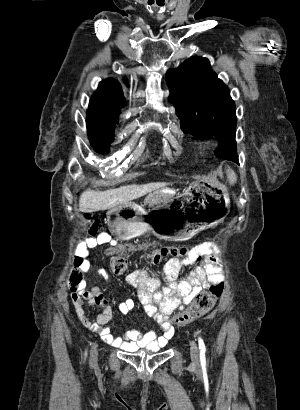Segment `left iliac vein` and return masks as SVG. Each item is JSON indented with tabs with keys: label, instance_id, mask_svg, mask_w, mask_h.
Instances as JSON below:
<instances>
[{
	"label": "left iliac vein",
	"instance_id": "obj_1",
	"mask_svg": "<svg viewBox=\"0 0 300 410\" xmlns=\"http://www.w3.org/2000/svg\"><path fill=\"white\" fill-rule=\"evenodd\" d=\"M190 356H191L192 362L195 365L200 364L199 350H198V346L195 341L190 342Z\"/></svg>",
	"mask_w": 300,
	"mask_h": 410
}]
</instances>
